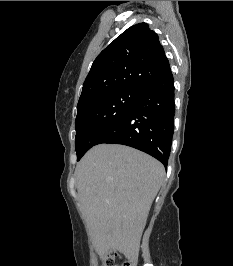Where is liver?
I'll use <instances>...</instances> for the list:
<instances>
[{"instance_id": "6515ba94", "label": "liver", "mask_w": 233, "mask_h": 266, "mask_svg": "<svg viewBox=\"0 0 233 266\" xmlns=\"http://www.w3.org/2000/svg\"><path fill=\"white\" fill-rule=\"evenodd\" d=\"M78 197L97 253L137 252L164 166L134 148L101 144L90 149L75 170Z\"/></svg>"}]
</instances>
